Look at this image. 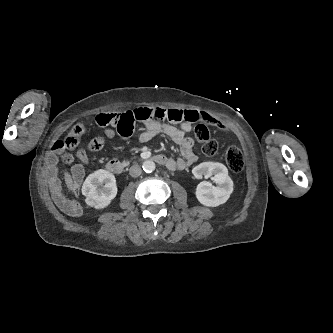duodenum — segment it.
Here are the masks:
<instances>
[{
    "label": "duodenum",
    "instance_id": "410a0bca",
    "mask_svg": "<svg viewBox=\"0 0 333 333\" xmlns=\"http://www.w3.org/2000/svg\"><path fill=\"white\" fill-rule=\"evenodd\" d=\"M153 159L160 164L167 163V158L163 155H155ZM106 169L113 174L120 175L124 172L125 165L117 159H111L107 162Z\"/></svg>",
    "mask_w": 333,
    "mask_h": 333
}]
</instances>
